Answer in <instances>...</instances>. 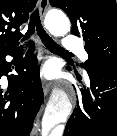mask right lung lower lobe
<instances>
[{
	"mask_svg": "<svg viewBox=\"0 0 117 136\" xmlns=\"http://www.w3.org/2000/svg\"><path fill=\"white\" fill-rule=\"evenodd\" d=\"M33 43L22 59L19 48L0 54V78L5 75L8 85L0 84V136H29L33 121L43 101L38 61L33 55ZM13 56L12 62L5 57ZM15 65L18 75L10 74Z\"/></svg>",
	"mask_w": 117,
	"mask_h": 136,
	"instance_id": "obj_1",
	"label": "right lung lower lobe"
}]
</instances>
